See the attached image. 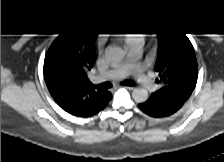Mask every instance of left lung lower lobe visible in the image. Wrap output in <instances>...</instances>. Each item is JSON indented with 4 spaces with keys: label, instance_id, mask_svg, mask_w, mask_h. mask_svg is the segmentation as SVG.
Masks as SVG:
<instances>
[{
    "label": "left lung lower lobe",
    "instance_id": "0a47b994",
    "mask_svg": "<svg viewBox=\"0 0 224 162\" xmlns=\"http://www.w3.org/2000/svg\"><path fill=\"white\" fill-rule=\"evenodd\" d=\"M179 102H164L153 99L147 100L145 103L139 104V108L146 114L153 117H164L175 113L182 107Z\"/></svg>",
    "mask_w": 224,
    "mask_h": 162
}]
</instances>
